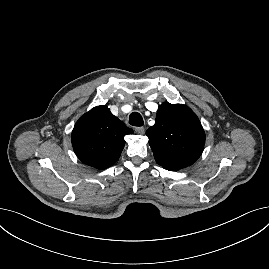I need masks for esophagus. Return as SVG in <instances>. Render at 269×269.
<instances>
[{
    "mask_svg": "<svg viewBox=\"0 0 269 269\" xmlns=\"http://www.w3.org/2000/svg\"><path fill=\"white\" fill-rule=\"evenodd\" d=\"M135 132L138 134H144L145 133V128L144 127H136Z\"/></svg>",
    "mask_w": 269,
    "mask_h": 269,
    "instance_id": "34e87169",
    "label": "esophagus"
}]
</instances>
